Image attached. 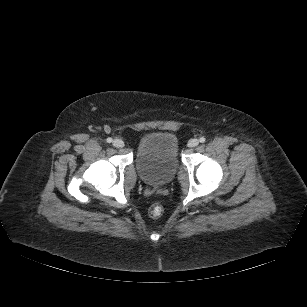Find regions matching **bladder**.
<instances>
[{"instance_id":"1","label":"bladder","mask_w":307,"mask_h":307,"mask_svg":"<svg viewBox=\"0 0 307 307\" xmlns=\"http://www.w3.org/2000/svg\"><path fill=\"white\" fill-rule=\"evenodd\" d=\"M135 163L145 184L163 186L169 183L179 168L176 135L165 131L144 135L136 149Z\"/></svg>"}]
</instances>
